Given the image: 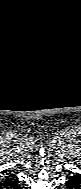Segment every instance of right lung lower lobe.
<instances>
[{
    "label": "right lung lower lobe",
    "instance_id": "right-lung-lower-lobe-1",
    "mask_svg": "<svg viewBox=\"0 0 81 189\" xmlns=\"http://www.w3.org/2000/svg\"><path fill=\"white\" fill-rule=\"evenodd\" d=\"M1 189H22L18 178L14 174L8 173L0 183Z\"/></svg>",
    "mask_w": 81,
    "mask_h": 189
}]
</instances>
